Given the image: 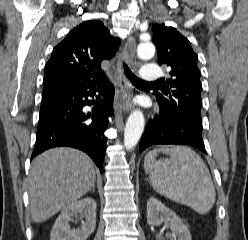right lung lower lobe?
I'll return each instance as SVG.
<instances>
[{
    "mask_svg": "<svg viewBox=\"0 0 248 240\" xmlns=\"http://www.w3.org/2000/svg\"><path fill=\"white\" fill-rule=\"evenodd\" d=\"M114 87L107 79L42 97L36 143L31 159L56 146L86 152L102 171L104 135L113 115ZM92 107L88 112L84 107Z\"/></svg>",
    "mask_w": 248,
    "mask_h": 240,
    "instance_id": "right-lung-lower-lobe-1",
    "label": "right lung lower lobe"
}]
</instances>
